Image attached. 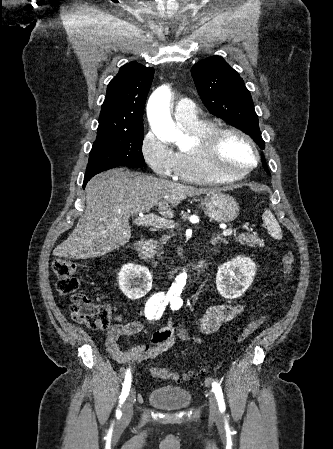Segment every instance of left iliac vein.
<instances>
[{
  "instance_id": "4c4485c4",
  "label": "left iliac vein",
  "mask_w": 333,
  "mask_h": 449,
  "mask_svg": "<svg viewBox=\"0 0 333 449\" xmlns=\"http://www.w3.org/2000/svg\"><path fill=\"white\" fill-rule=\"evenodd\" d=\"M209 411L211 420L217 422L221 419L218 402L213 393H209Z\"/></svg>"
}]
</instances>
